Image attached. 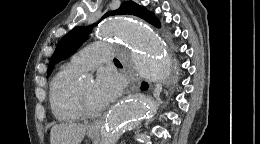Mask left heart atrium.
<instances>
[{"instance_id":"obj_1","label":"left heart atrium","mask_w":260,"mask_h":144,"mask_svg":"<svg viewBox=\"0 0 260 144\" xmlns=\"http://www.w3.org/2000/svg\"><path fill=\"white\" fill-rule=\"evenodd\" d=\"M122 87V81L117 74L102 72L95 83L94 97L100 107H104L120 95Z\"/></svg>"}]
</instances>
